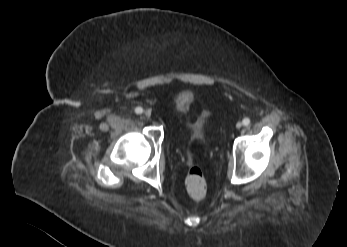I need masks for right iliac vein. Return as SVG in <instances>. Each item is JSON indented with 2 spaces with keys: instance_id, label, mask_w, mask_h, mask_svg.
I'll use <instances>...</instances> for the list:
<instances>
[{
  "instance_id": "right-iliac-vein-1",
  "label": "right iliac vein",
  "mask_w": 347,
  "mask_h": 247,
  "mask_svg": "<svg viewBox=\"0 0 347 247\" xmlns=\"http://www.w3.org/2000/svg\"><path fill=\"white\" fill-rule=\"evenodd\" d=\"M144 115H145V117L149 118L151 116V111L150 110H146L144 112Z\"/></svg>"
}]
</instances>
